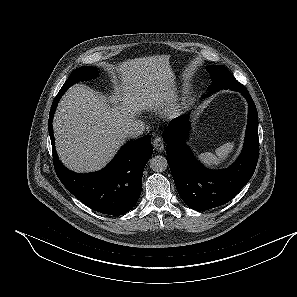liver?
I'll return each mask as SVG.
<instances>
[{
	"mask_svg": "<svg viewBox=\"0 0 297 297\" xmlns=\"http://www.w3.org/2000/svg\"><path fill=\"white\" fill-rule=\"evenodd\" d=\"M169 58L148 56L111 65L118 78L113 104L81 84L63 95L53 128L58 156L67 168L78 173L100 170L124 143L123 130L137 115L174 97Z\"/></svg>",
	"mask_w": 297,
	"mask_h": 297,
	"instance_id": "liver-1",
	"label": "liver"
}]
</instances>
